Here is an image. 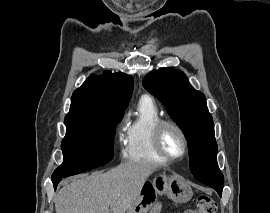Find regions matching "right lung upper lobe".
Returning <instances> with one entry per match:
<instances>
[{"label": "right lung upper lobe", "instance_id": "right-lung-upper-lobe-1", "mask_svg": "<svg viewBox=\"0 0 270 213\" xmlns=\"http://www.w3.org/2000/svg\"><path fill=\"white\" fill-rule=\"evenodd\" d=\"M133 90L131 76L105 71L92 74L73 92L70 111L65 119L103 118L123 113Z\"/></svg>", "mask_w": 270, "mask_h": 213}]
</instances>
